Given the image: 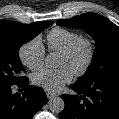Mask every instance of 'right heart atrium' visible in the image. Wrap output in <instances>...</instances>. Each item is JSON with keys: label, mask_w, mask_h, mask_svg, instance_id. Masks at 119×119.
Masks as SVG:
<instances>
[{"label": "right heart atrium", "mask_w": 119, "mask_h": 119, "mask_svg": "<svg viewBox=\"0 0 119 119\" xmlns=\"http://www.w3.org/2000/svg\"><path fill=\"white\" fill-rule=\"evenodd\" d=\"M20 62L30 70L42 67L45 60V48L39 37H33L24 42L18 51Z\"/></svg>", "instance_id": "1"}]
</instances>
